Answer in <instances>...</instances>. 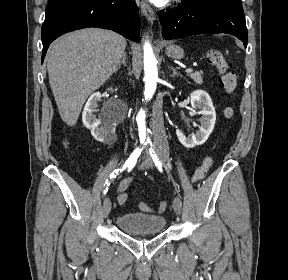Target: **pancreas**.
<instances>
[{
	"instance_id": "pancreas-1",
	"label": "pancreas",
	"mask_w": 288,
	"mask_h": 280,
	"mask_svg": "<svg viewBox=\"0 0 288 280\" xmlns=\"http://www.w3.org/2000/svg\"><path fill=\"white\" fill-rule=\"evenodd\" d=\"M190 78L195 81L197 84L203 83V72L202 71H196L195 73H191Z\"/></svg>"
}]
</instances>
